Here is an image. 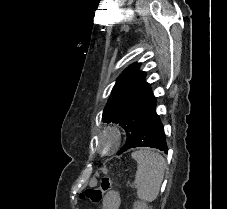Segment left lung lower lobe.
<instances>
[{"label":"left lung lower lobe","mask_w":227,"mask_h":209,"mask_svg":"<svg viewBox=\"0 0 227 209\" xmlns=\"http://www.w3.org/2000/svg\"><path fill=\"white\" fill-rule=\"evenodd\" d=\"M155 107L156 102L143 116L137 127L135 137L128 149L135 147H151L163 150L167 153L168 148L164 134V127L159 116L156 114Z\"/></svg>","instance_id":"1"}]
</instances>
